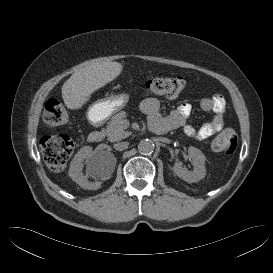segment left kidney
<instances>
[{
	"label": "left kidney",
	"instance_id": "left-kidney-1",
	"mask_svg": "<svg viewBox=\"0 0 273 273\" xmlns=\"http://www.w3.org/2000/svg\"><path fill=\"white\" fill-rule=\"evenodd\" d=\"M190 158L193 159L194 170L189 171L187 168L182 166V162L177 161L173 166L174 173L184 181L188 183H195L202 180L206 175L205 169V155L197 148L190 146L188 149Z\"/></svg>",
	"mask_w": 273,
	"mask_h": 273
}]
</instances>
